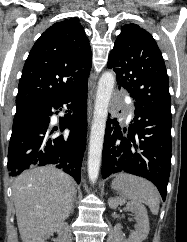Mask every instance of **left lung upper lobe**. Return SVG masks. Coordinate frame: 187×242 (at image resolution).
Instances as JSON below:
<instances>
[{
  "instance_id": "1",
  "label": "left lung upper lobe",
  "mask_w": 187,
  "mask_h": 242,
  "mask_svg": "<svg viewBox=\"0 0 187 242\" xmlns=\"http://www.w3.org/2000/svg\"><path fill=\"white\" fill-rule=\"evenodd\" d=\"M107 66L116 73L119 88L127 89L135 102L171 114L164 59L150 33L136 24L124 25L109 55Z\"/></svg>"
}]
</instances>
